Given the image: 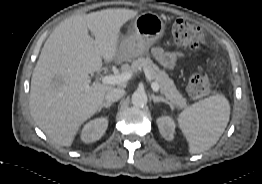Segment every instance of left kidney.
<instances>
[{
  "mask_svg": "<svg viewBox=\"0 0 262 184\" xmlns=\"http://www.w3.org/2000/svg\"><path fill=\"white\" fill-rule=\"evenodd\" d=\"M157 125L163 138L172 140L175 133V123L169 116L160 117L157 119Z\"/></svg>",
  "mask_w": 262,
  "mask_h": 184,
  "instance_id": "obj_1",
  "label": "left kidney"
}]
</instances>
